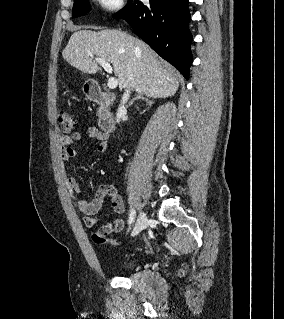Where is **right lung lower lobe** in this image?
Instances as JSON below:
<instances>
[{
    "label": "right lung lower lobe",
    "instance_id": "obj_1",
    "mask_svg": "<svg viewBox=\"0 0 284 319\" xmlns=\"http://www.w3.org/2000/svg\"><path fill=\"white\" fill-rule=\"evenodd\" d=\"M149 1L148 5L129 1L113 17L125 19L141 39L188 79L192 63L188 0Z\"/></svg>",
    "mask_w": 284,
    "mask_h": 319
}]
</instances>
